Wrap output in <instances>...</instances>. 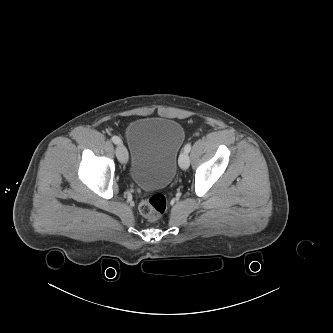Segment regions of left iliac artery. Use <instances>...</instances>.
<instances>
[{
    "label": "left iliac artery",
    "mask_w": 333,
    "mask_h": 333,
    "mask_svg": "<svg viewBox=\"0 0 333 333\" xmlns=\"http://www.w3.org/2000/svg\"><path fill=\"white\" fill-rule=\"evenodd\" d=\"M191 150V143H187L184 147V152L189 153Z\"/></svg>",
    "instance_id": "left-iliac-artery-1"
}]
</instances>
